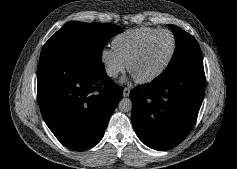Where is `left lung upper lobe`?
Listing matches in <instances>:
<instances>
[{"mask_svg":"<svg viewBox=\"0 0 237 169\" xmlns=\"http://www.w3.org/2000/svg\"><path fill=\"white\" fill-rule=\"evenodd\" d=\"M174 33L176 48L172 59L161 75H169L185 68L203 65L201 49L195 38L175 25H169Z\"/></svg>","mask_w":237,"mask_h":169,"instance_id":"obj_1","label":"left lung upper lobe"}]
</instances>
